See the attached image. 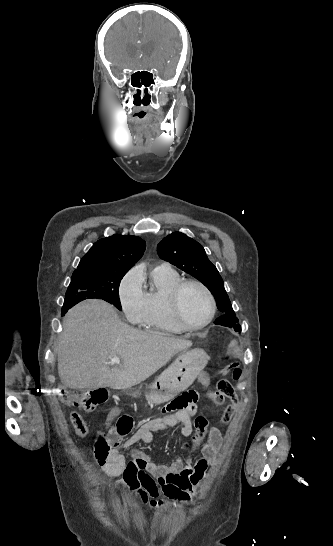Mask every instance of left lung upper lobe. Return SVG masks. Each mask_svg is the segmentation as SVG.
<instances>
[{
    "instance_id": "left-lung-upper-lobe-1",
    "label": "left lung upper lobe",
    "mask_w": 333,
    "mask_h": 546,
    "mask_svg": "<svg viewBox=\"0 0 333 546\" xmlns=\"http://www.w3.org/2000/svg\"><path fill=\"white\" fill-rule=\"evenodd\" d=\"M157 253L161 259L201 281L215 297L217 308L223 315L236 318L222 277L197 241L181 232H174L158 244Z\"/></svg>"
}]
</instances>
